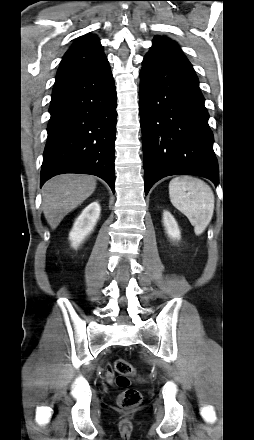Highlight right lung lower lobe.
Masks as SVG:
<instances>
[{
    "instance_id": "98d812e1",
    "label": "right lung lower lobe",
    "mask_w": 254,
    "mask_h": 440,
    "mask_svg": "<svg viewBox=\"0 0 254 440\" xmlns=\"http://www.w3.org/2000/svg\"><path fill=\"white\" fill-rule=\"evenodd\" d=\"M116 90L108 61L55 81L41 186L62 173L104 179L115 192Z\"/></svg>"
}]
</instances>
